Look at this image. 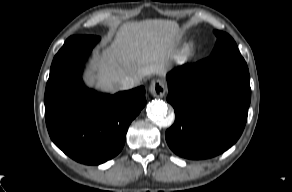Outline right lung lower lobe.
<instances>
[{
  "label": "right lung lower lobe",
  "instance_id": "right-lung-lower-lobe-1",
  "mask_svg": "<svg viewBox=\"0 0 292 192\" xmlns=\"http://www.w3.org/2000/svg\"><path fill=\"white\" fill-rule=\"evenodd\" d=\"M100 40L78 35L55 55L45 90V119L52 141L72 159L98 165L123 148L131 121L145 106L143 86L115 95L84 86L82 67Z\"/></svg>",
  "mask_w": 292,
  "mask_h": 192
}]
</instances>
